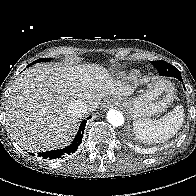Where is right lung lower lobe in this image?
<instances>
[{"instance_id":"98d812e1","label":"right lung lower lobe","mask_w":196,"mask_h":196,"mask_svg":"<svg viewBox=\"0 0 196 196\" xmlns=\"http://www.w3.org/2000/svg\"><path fill=\"white\" fill-rule=\"evenodd\" d=\"M90 118H91V116L81 122L78 133H77L75 139L73 140V142L71 143V145H69L66 148L59 149V150L39 152L38 156L43 157L45 159L46 158L59 159V158H63L67 154L70 155L71 153H74L78 149V146L82 143L85 125H86L87 119H90Z\"/></svg>"}]
</instances>
